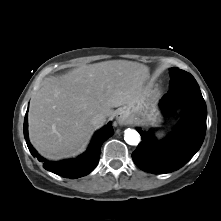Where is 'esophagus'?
I'll return each instance as SVG.
<instances>
[{"label":"esophagus","mask_w":221,"mask_h":221,"mask_svg":"<svg viewBox=\"0 0 221 221\" xmlns=\"http://www.w3.org/2000/svg\"><path fill=\"white\" fill-rule=\"evenodd\" d=\"M116 121L120 126L127 125L131 122V118L126 111H120L116 116Z\"/></svg>","instance_id":"1"}]
</instances>
